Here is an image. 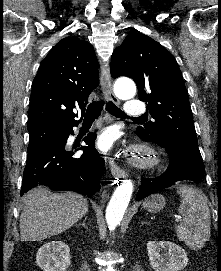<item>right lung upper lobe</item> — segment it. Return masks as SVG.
Masks as SVG:
<instances>
[{
	"instance_id": "cb5924a9",
	"label": "right lung upper lobe",
	"mask_w": 221,
	"mask_h": 271,
	"mask_svg": "<svg viewBox=\"0 0 221 271\" xmlns=\"http://www.w3.org/2000/svg\"><path fill=\"white\" fill-rule=\"evenodd\" d=\"M98 68L93 46L87 41L66 37L57 43L33 81L28 131L78 123L73 109H82L83 117L89 94L99 83Z\"/></svg>"
}]
</instances>
